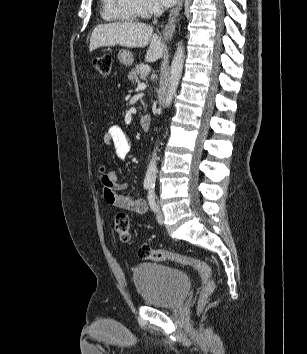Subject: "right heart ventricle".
<instances>
[{"label": "right heart ventricle", "mask_w": 307, "mask_h": 354, "mask_svg": "<svg viewBox=\"0 0 307 354\" xmlns=\"http://www.w3.org/2000/svg\"><path fill=\"white\" fill-rule=\"evenodd\" d=\"M138 16L133 0H102L105 20L134 21Z\"/></svg>", "instance_id": "obj_1"}]
</instances>
